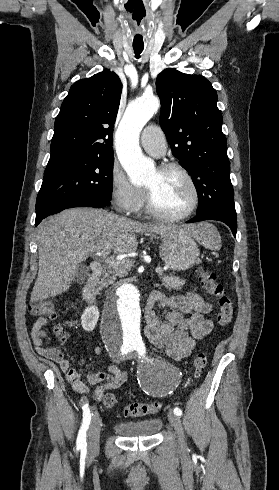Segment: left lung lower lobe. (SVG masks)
I'll return each mask as SVG.
<instances>
[{"instance_id":"left-lung-lower-lobe-1","label":"left lung lower lobe","mask_w":279,"mask_h":490,"mask_svg":"<svg viewBox=\"0 0 279 490\" xmlns=\"http://www.w3.org/2000/svg\"><path fill=\"white\" fill-rule=\"evenodd\" d=\"M203 220H218V221L224 222L225 224H227L230 227L234 237H236L237 216H231V215L224 214L221 212L211 211V212H207V213H204L201 215H197L196 217L187 221V223H193V222H198V221H203Z\"/></svg>"}]
</instances>
